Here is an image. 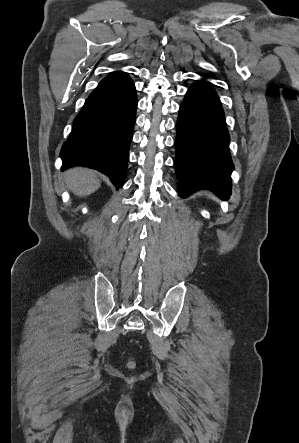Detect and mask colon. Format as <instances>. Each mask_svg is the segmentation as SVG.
I'll use <instances>...</instances> for the list:
<instances>
[{"label": "colon", "mask_w": 299, "mask_h": 443, "mask_svg": "<svg viewBox=\"0 0 299 443\" xmlns=\"http://www.w3.org/2000/svg\"><path fill=\"white\" fill-rule=\"evenodd\" d=\"M128 365H129V367H132V366H133V363L130 361V362L128 363Z\"/></svg>", "instance_id": "obj_1"}]
</instances>
